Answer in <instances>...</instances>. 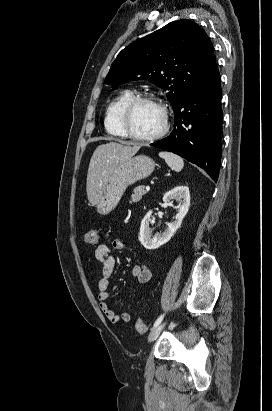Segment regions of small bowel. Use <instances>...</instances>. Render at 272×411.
I'll list each match as a JSON object with an SVG mask.
<instances>
[{"label":"small bowel","instance_id":"1","mask_svg":"<svg viewBox=\"0 0 272 411\" xmlns=\"http://www.w3.org/2000/svg\"><path fill=\"white\" fill-rule=\"evenodd\" d=\"M125 248L124 243L120 239H115L112 246L109 247L106 244H101L95 251V258L101 265V276L98 282L99 288V307L107 319L112 323L128 322L131 315L128 311L123 312L121 315L117 314L107 303L114 287L110 286V280L114 273L116 258L115 252L123 250ZM132 276L139 283H147L151 280L152 273L149 267L145 264H137L131 270Z\"/></svg>","mask_w":272,"mask_h":411}]
</instances>
